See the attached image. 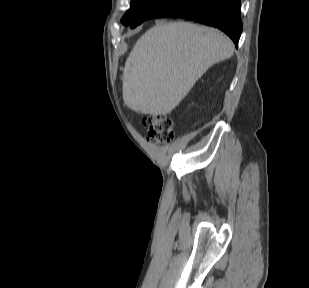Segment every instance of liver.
<instances>
[{"label":"liver","mask_w":309,"mask_h":288,"mask_svg":"<svg viewBox=\"0 0 309 288\" xmlns=\"http://www.w3.org/2000/svg\"><path fill=\"white\" fill-rule=\"evenodd\" d=\"M232 41L189 22H159L143 34L124 68L123 99L131 110L166 115L214 64L229 59Z\"/></svg>","instance_id":"obj_1"}]
</instances>
